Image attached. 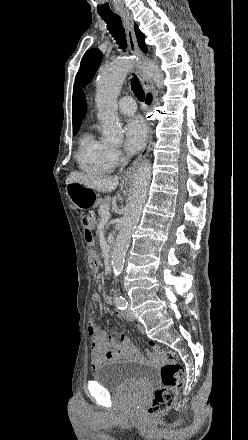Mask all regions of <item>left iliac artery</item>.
<instances>
[{
	"instance_id": "1",
	"label": "left iliac artery",
	"mask_w": 248,
	"mask_h": 440,
	"mask_svg": "<svg viewBox=\"0 0 248 440\" xmlns=\"http://www.w3.org/2000/svg\"><path fill=\"white\" fill-rule=\"evenodd\" d=\"M114 302L116 307L120 310H125L128 306V302L123 296L116 297Z\"/></svg>"
}]
</instances>
